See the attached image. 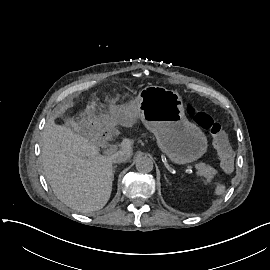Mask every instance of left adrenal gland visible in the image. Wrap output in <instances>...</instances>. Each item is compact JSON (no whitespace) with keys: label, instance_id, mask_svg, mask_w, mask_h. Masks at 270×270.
<instances>
[{"label":"left adrenal gland","instance_id":"1","mask_svg":"<svg viewBox=\"0 0 270 270\" xmlns=\"http://www.w3.org/2000/svg\"><path fill=\"white\" fill-rule=\"evenodd\" d=\"M164 178H165V180L168 182V179H167V177H166V175L164 174Z\"/></svg>","mask_w":270,"mask_h":270}]
</instances>
